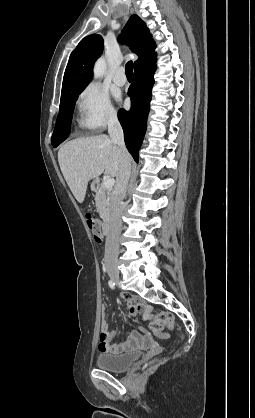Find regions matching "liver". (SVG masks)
<instances>
[{
    "label": "liver",
    "instance_id": "liver-1",
    "mask_svg": "<svg viewBox=\"0 0 255 418\" xmlns=\"http://www.w3.org/2000/svg\"><path fill=\"white\" fill-rule=\"evenodd\" d=\"M120 157L118 146L107 135L73 139L58 151L62 174L79 203L84 201L91 179L103 172L117 177Z\"/></svg>",
    "mask_w": 255,
    "mask_h": 418
}]
</instances>
